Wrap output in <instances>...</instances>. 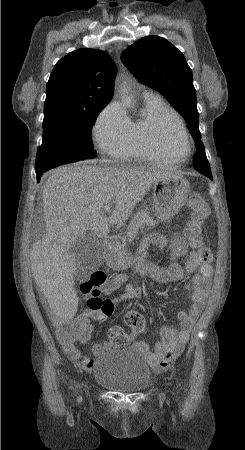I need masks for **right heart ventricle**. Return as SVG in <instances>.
<instances>
[{
    "label": "right heart ventricle",
    "mask_w": 245,
    "mask_h": 450,
    "mask_svg": "<svg viewBox=\"0 0 245 450\" xmlns=\"http://www.w3.org/2000/svg\"><path fill=\"white\" fill-rule=\"evenodd\" d=\"M144 111L136 121H132V137L130 157L135 162L158 161L171 162L174 159L159 152L152 145L151 135L157 122L163 117H171L182 124L177 112L158 94L142 96ZM184 125V124H183Z\"/></svg>",
    "instance_id": "obj_1"
}]
</instances>
